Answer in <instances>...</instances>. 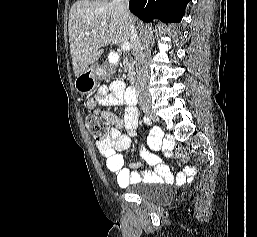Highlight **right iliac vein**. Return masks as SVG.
Returning <instances> with one entry per match:
<instances>
[{"label":"right iliac vein","instance_id":"right-iliac-vein-1","mask_svg":"<svg viewBox=\"0 0 257 237\" xmlns=\"http://www.w3.org/2000/svg\"><path fill=\"white\" fill-rule=\"evenodd\" d=\"M143 110L145 114L149 116L151 119H153L154 121L158 120L157 116L154 114L153 110L150 107H144Z\"/></svg>","mask_w":257,"mask_h":237}]
</instances>
